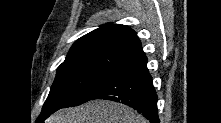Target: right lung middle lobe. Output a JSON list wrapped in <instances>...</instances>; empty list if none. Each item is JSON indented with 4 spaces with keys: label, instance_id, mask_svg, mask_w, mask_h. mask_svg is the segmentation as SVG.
<instances>
[{
    "label": "right lung middle lobe",
    "instance_id": "obj_1",
    "mask_svg": "<svg viewBox=\"0 0 221 123\" xmlns=\"http://www.w3.org/2000/svg\"><path fill=\"white\" fill-rule=\"evenodd\" d=\"M130 57L108 50H83L67 55L58 67L41 115L89 100L96 85Z\"/></svg>",
    "mask_w": 221,
    "mask_h": 123
}]
</instances>
